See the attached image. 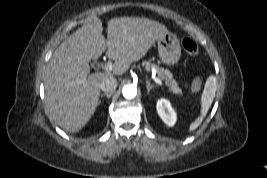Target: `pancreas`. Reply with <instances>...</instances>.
<instances>
[{
  "mask_svg": "<svg viewBox=\"0 0 267 178\" xmlns=\"http://www.w3.org/2000/svg\"><path fill=\"white\" fill-rule=\"evenodd\" d=\"M146 69L150 70L153 68L155 72L157 73L158 78L163 80L165 84L169 87V90L173 92L174 94L182 96V90L178 86V83L176 80L173 79L172 73L164 69L163 67H160L159 65L156 64H151L149 61L145 62Z\"/></svg>",
  "mask_w": 267,
  "mask_h": 178,
  "instance_id": "obj_1",
  "label": "pancreas"
}]
</instances>
